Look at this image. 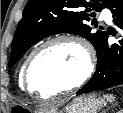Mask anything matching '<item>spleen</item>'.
<instances>
[{"label":"spleen","instance_id":"spleen-1","mask_svg":"<svg viewBox=\"0 0 123 113\" xmlns=\"http://www.w3.org/2000/svg\"><path fill=\"white\" fill-rule=\"evenodd\" d=\"M105 97H106L107 101H109L110 103L112 101H114V96L113 95H106Z\"/></svg>","mask_w":123,"mask_h":113}]
</instances>
